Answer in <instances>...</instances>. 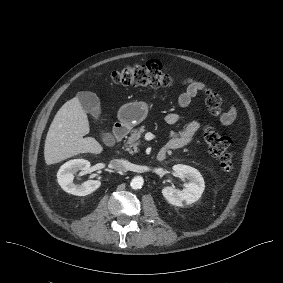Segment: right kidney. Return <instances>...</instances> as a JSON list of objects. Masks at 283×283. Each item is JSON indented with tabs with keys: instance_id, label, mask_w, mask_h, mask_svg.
I'll list each match as a JSON object with an SVG mask.
<instances>
[{
	"instance_id": "right-kidney-1",
	"label": "right kidney",
	"mask_w": 283,
	"mask_h": 283,
	"mask_svg": "<svg viewBox=\"0 0 283 283\" xmlns=\"http://www.w3.org/2000/svg\"><path fill=\"white\" fill-rule=\"evenodd\" d=\"M90 169V162L84 159H74L64 163L58 173L57 181L61 188L70 194L77 196H86L101 185L99 180H87L86 182L78 185L74 183V173L81 170L82 173H87Z\"/></svg>"
}]
</instances>
